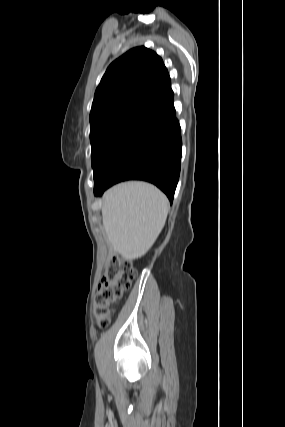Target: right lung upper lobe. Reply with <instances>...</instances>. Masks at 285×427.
Instances as JSON below:
<instances>
[{"instance_id":"1","label":"right lung upper lobe","mask_w":285,"mask_h":427,"mask_svg":"<svg viewBox=\"0 0 285 427\" xmlns=\"http://www.w3.org/2000/svg\"><path fill=\"white\" fill-rule=\"evenodd\" d=\"M170 90L162 59L148 48H133L107 68L95 92L90 122L124 110L144 112Z\"/></svg>"}]
</instances>
